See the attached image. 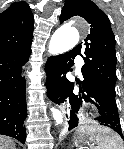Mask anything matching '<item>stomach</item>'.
I'll return each mask as SVG.
<instances>
[{
	"mask_svg": "<svg viewBox=\"0 0 124 149\" xmlns=\"http://www.w3.org/2000/svg\"><path fill=\"white\" fill-rule=\"evenodd\" d=\"M82 127H80L74 135L75 143H79L81 145L97 143L96 140L94 139V136L97 134H103V135L106 134L107 136L110 137L116 136L110 129H105L102 127H89V126H82Z\"/></svg>",
	"mask_w": 124,
	"mask_h": 149,
	"instance_id": "1",
	"label": "stomach"
}]
</instances>
